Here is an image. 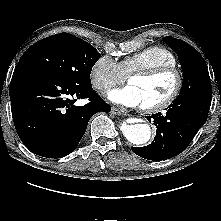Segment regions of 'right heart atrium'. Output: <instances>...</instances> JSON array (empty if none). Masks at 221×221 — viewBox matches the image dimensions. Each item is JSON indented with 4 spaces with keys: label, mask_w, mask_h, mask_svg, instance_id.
Returning <instances> with one entry per match:
<instances>
[{
    "label": "right heart atrium",
    "mask_w": 221,
    "mask_h": 221,
    "mask_svg": "<svg viewBox=\"0 0 221 221\" xmlns=\"http://www.w3.org/2000/svg\"><path fill=\"white\" fill-rule=\"evenodd\" d=\"M90 82L94 89L105 91L126 80L119 63L108 55L98 57L89 72Z\"/></svg>",
    "instance_id": "right-heart-atrium-1"
}]
</instances>
